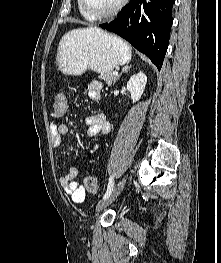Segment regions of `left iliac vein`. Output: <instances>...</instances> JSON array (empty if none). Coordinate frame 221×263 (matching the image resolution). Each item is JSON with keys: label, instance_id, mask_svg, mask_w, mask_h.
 <instances>
[{"label": "left iliac vein", "instance_id": "left-iliac-vein-1", "mask_svg": "<svg viewBox=\"0 0 221 263\" xmlns=\"http://www.w3.org/2000/svg\"><path fill=\"white\" fill-rule=\"evenodd\" d=\"M127 180V175H125L117 184V186L114 188V190L111 192V194L104 199L103 201H101L97 206H96V211H100L104 208H106L109 204H111L117 197L118 195L121 193V191L123 190L125 183Z\"/></svg>", "mask_w": 221, "mask_h": 263}]
</instances>
